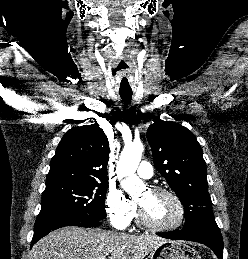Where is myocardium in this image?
<instances>
[{"label":"myocardium","instance_id":"1","mask_svg":"<svg viewBox=\"0 0 248 259\" xmlns=\"http://www.w3.org/2000/svg\"><path fill=\"white\" fill-rule=\"evenodd\" d=\"M148 190L152 193H163L171 197L178 207L179 215L176 222L171 225H168V226L155 225L147 219L143 208L139 204H137L139 223L146 229H149L155 232H171L178 229L183 224L185 219V207L180 197L173 190L163 186H151Z\"/></svg>","mask_w":248,"mask_h":259}]
</instances>
